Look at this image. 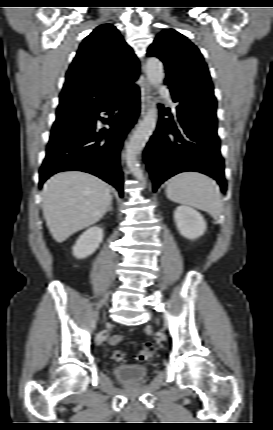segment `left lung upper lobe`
<instances>
[{
  "label": "left lung upper lobe",
  "mask_w": 273,
  "mask_h": 430,
  "mask_svg": "<svg viewBox=\"0 0 273 430\" xmlns=\"http://www.w3.org/2000/svg\"><path fill=\"white\" fill-rule=\"evenodd\" d=\"M147 56L165 65V83L177 109L198 119L216 120V98L208 67L199 49L174 29H164L149 47Z\"/></svg>",
  "instance_id": "left-lung-upper-lobe-1"
}]
</instances>
